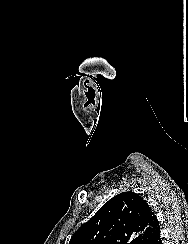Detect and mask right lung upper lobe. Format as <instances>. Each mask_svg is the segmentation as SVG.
<instances>
[{
	"label": "right lung upper lobe",
	"instance_id": "cb5924a9",
	"mask_svg": "<svg viewBox=\"0 0 188 244\" xmlns=\"http://www.w3.org/2000/svg\"><path fill=\"white\" fill-rule=\"evenodd\" d=\"M158 227L147 202L132 191L123 192L84 223L69 244H146Z\"/></svg>",
	"mask_w": 188,
	"mask_h": 244
}]
</instances>
